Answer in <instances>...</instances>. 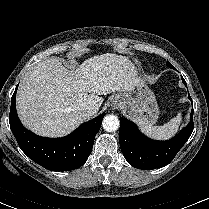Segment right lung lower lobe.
I'll list each match as a JSON object with an SVG mask.
<instances>
[{
  "label": "right lung lower lobe",
  "instance_id": "obj_1",
  "mask_svg": "<svg viewBox=\"0 0 209 209\" xmlns=\"http://www.w3.org/2000/svg\"><path fill=\"white\" fill-rule=\"evenodd\" d=\"M15 95L16 91L11 98L9 123L21 150L31 160L52 171H69L81 167L92 151L105 114L83 123L65 137H40L21 124L16 112Z\"/></svg>",
  "mask_w": 209,
  "mask_h": 209
}]
</instances>
